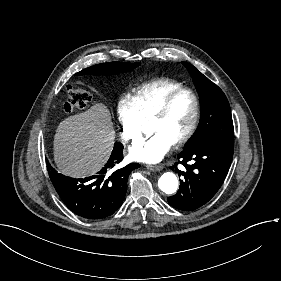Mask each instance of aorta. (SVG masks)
Segmentation results:
<instances>
[{
    "mask_svg": "<svg viewBox=\"0 0 281 281\" xmlns=\"http://www.w3.org/2000/svg\"><path fill=\"white\" fill-rule=\"evenodd\" d=\"M158 186L166 194H173L178 189V179L172 172L164 173L158 180Z\"/></svg>",
    "mask_w": 281,
    "mask_h": 281,
    "instance_id": "762f6f07",
    "label": "aorta"
}]
</instances>
